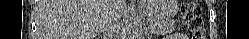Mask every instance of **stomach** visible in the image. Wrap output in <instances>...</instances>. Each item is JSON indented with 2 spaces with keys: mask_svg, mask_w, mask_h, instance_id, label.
Returning a JSON list of instances; mask_svg holds the SVG:
<instances>
[{
  "mask_svg": "<svg viewBox=\"0 0 249 39\" xmlns=\"http://www.w3.org/2000/svg\"><path fill=\"white\" fill-rule=\"evenodd\" d=\"M142 11L152 20H168L178 12L175 0H144Z\"/></svg>",
  "mask_w": 249,
  "mask_h": 39,
  "instance_id": "stomach-1",
  "label": "stomach"
}]
</instances>
